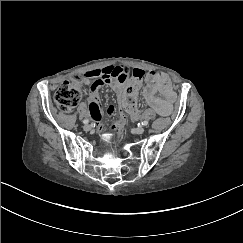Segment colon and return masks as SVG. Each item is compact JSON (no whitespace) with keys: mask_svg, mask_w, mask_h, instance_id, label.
Returning a JSON list of instances; mask_svg holds the SVG:
<instances>
[{"mask_svg":"<svg viewBox=\"0 0 243 243\" xmlns=\"http://www.w3.org/2000/svg\"><path fill=\"white\" fill-rule=\"evenodd\" d=\"M83 77L82 73H75L71 82L65 81L57 89L54 98L56 105L61 111L70 112L79 103L82 97L79 82ZM143 77L142 72L135 71L130 79L123 80L125 85L119 95L121 114L119 120L112 128V134L116 137L121 135L127 115L135 117L139 113L137 95Z\"/></svg>","mask_w":243,"mask_h":243,"instance_id":"obj_1","label":"colon"}]
</instances>
